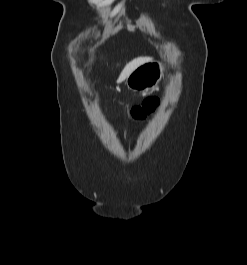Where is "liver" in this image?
<instances>
[{"label": "liver", "mask_w": 247, "mask_h": 265, "mask_svg": "<svg viewBox=\"0 0 247 265\" xmlns=\"http://www.w3.org/2000/svg\"><path fill=\"white\" fill-rule=\"evenodd\" d=\"M152 58L150 57H138L133 59L132 61H130L129 63L126 64V66L124 67V69L122 70L117 83H121L124 80H126V78L135 70L137 69L139 66L143 65L146 62L151 61Z\"/></svg>", "instance_id": "liver-1"}]
</instances>
